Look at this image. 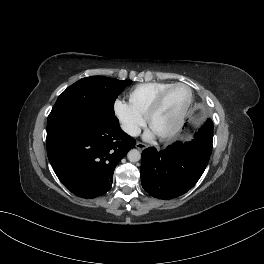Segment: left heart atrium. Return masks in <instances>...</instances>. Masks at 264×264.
Instances as JSON below:
<instances>
[{"label": "left heart atrium", "mask_w": 264, "mask_h": 264, "mask_svg": "<svg viewBox=\"0 0 264 264\" xmlns=\"http://www.w3.org/2000/svg\"><path fill=\"white\" fill-rule=\"evenodd\" d=\"M152 134L150 133V134H148V136L150 137Z\"/></svg>", "instance_id": "1"}]
</instances>
